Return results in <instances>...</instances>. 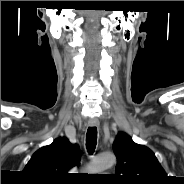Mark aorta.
<instances>
[{
	"mask_svg": "<svg viewBox=\"0 0 184 184\" xmlns=\"http://www.w3.org/2000/svg\"><path fill=\"white\" fill-rule=\"evenodd\" d=\"M115 156L112 153H104L96 157L90 164L89 171L92 174L102 172L115 164Z\"/></svg>",
	"mask_w": 184,
	"mask_h": 184,
	"instance_id": "obj_1",
	"label": "aorta"
}]
</instances>
